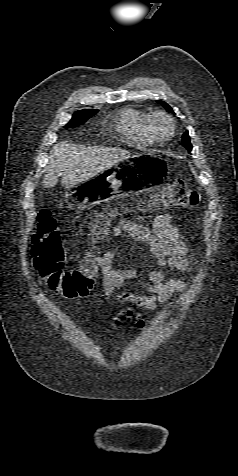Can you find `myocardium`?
Masks as SVG:
<instances>
[{"mask_svg":"<svg viewBox=\"0 0 238 476\" xmlns=\"http://www.w3.org/2000/svg\"><path fill=\"white\" fill-rule=\"evenodd\" d=\"M163 122L168 123L170 126V129L166 134L162 133L160 130V124ZM148 128L154 139L159 142L170 140L176 132V124L174 119L162 111H156L150 114L148 119Z\"/></svg>","mask_w":238,"mask_h":476,"instance_id":"1","label":"myocardium"}]
</instances>
